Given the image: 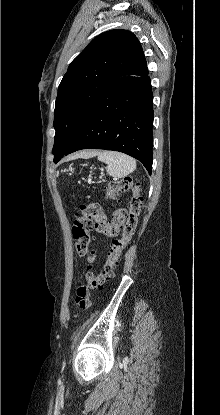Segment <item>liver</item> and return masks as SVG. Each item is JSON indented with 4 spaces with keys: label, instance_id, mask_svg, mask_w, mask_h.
<instances>
[{
    "label": "liver",
    "instance_id": "liver-1",
    "mask_svg": "<svg viewBox=\"0 0 220 415\" xmlns=\"http://www.w3.org/2000/svg\"><path fill=\"white\" fill-rule=\"evenodd\" d=\"M82 155L89 157V156L96 155V152H87V153H83Z\"/></svg>",
    "mask_w": 220,
    "mask_h": 415
}]
</instances>
